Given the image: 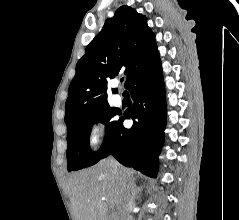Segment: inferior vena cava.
I'll use <instances>...</instances> for the list:
<instances>
[{"label":"inferior vena cava","mask_w":239,"mask_h":220,"mask_svg":"<svg viewBox=\"0 0 239 220\" xmlns=\"http://www.w3.org/2000/svg\"><path fill=\"white\" fill-rule=\"evenodd\" d=\"M107 163L116 173H121V167L113 157H108ZM122 208L120 209L121 220H134L131 212L135 207L133 197L130 194V186L125 180L121 181Z\"/></svg>","instance_id":"inferior-vena-cava-1"}]
</instances>
